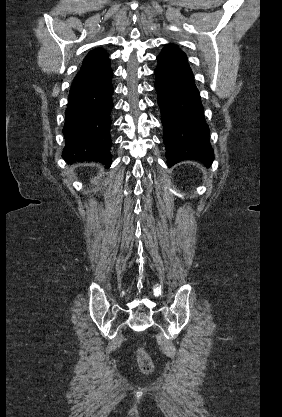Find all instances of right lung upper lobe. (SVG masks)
<instances>
[{"mask_svg":"<svg viewBox=\"0 0 282 417\" xmlns=\"http://www.w3.org/2000/svg\"><path fill=\"white\" fill-rule=\"evenodd\" d=\"M108 59V54H105V51L102 49H96L88 53V55L83 60L81 69L90 67L96 63H99L103 60Z\"/></svg>","mask_w":282,"mask_h":417,"instance_id":"1","label":"right lung upper lobe"}]
</instances>
